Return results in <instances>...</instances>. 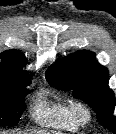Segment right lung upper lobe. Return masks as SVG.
Returning <instances> with one entry per match:
<instances>
[{"label": "right lung upper lobe", "mask_w": 116, "mask_h": 134, "mask_svg": "<svg viewBox=\"0 0 116 134\" xmlns=\"http://www.w3.org/2000/svg\"><path fill=\"white\" fill-rule=\"evenodd\" d=\"M1 59L0 91L20 92L30 80V75L23 70L27 59L17 50L3 52Z\"/></svg>", "instance_id": "1"}]
</instances>
